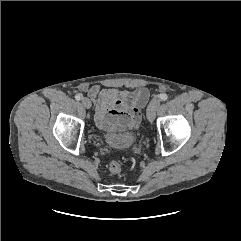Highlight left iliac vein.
Listing matches in <instances>:
<instances>
[{
    "mask_svg": "<svg viewBox=\"0 0 241 241\" xmlns=\"http://www.w3.org/2000/svg\"><path fill=\"white\" fill-rule=\"evenodd\" d=\"M159 105H160V100L155 99L147 107L146 115L150 122H152L155 119L156 110L158 109Z\"/></svg>",
    "mask_w": 241,
    "mask_h": 241,
    "instance_id": "left-iliac-vein-1",
    "label": "left iliac vein"
}]
</instances>
